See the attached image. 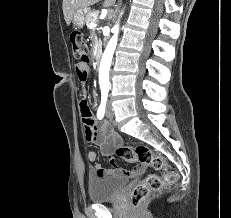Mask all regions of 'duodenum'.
Listing matches in <instances>:
<instances>
[{
    "mask_svg": "<svg viewBox=\"0 0 231 218\" xmlns=\"http://www.w3.org/2000/svg\"><path fill=\"white\" fill-rule=\"evenodd\" d=\"M101 51L100 50H97V52L95 53V56H94V63H95V66L98 67L100 65V62H101Z\"/></svg>",
    "mask_w": 231,
    "mask_h": 218,
    "instance_id": "obj_1",
    "label": "duodenum"
}]
</instances>
